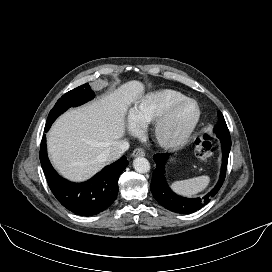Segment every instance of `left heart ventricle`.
<instances>
[{"label": "left heart ventricle", "instance_id": "left-heart-ventricle-1", "mask_svg": "<svg viewBox=\"0 0 272 272\" xmlns=\"http://www.w3.org/2000/svg\"><path fill=\"white\" fill-rule=\"evenodd\" d=\"M196 115L193 104L187 103L175 110L164 128L166 137H177L184 133L192 123Z\"/></svg>", "mask_w": 272, "mask_h": 272}]
</instances>
